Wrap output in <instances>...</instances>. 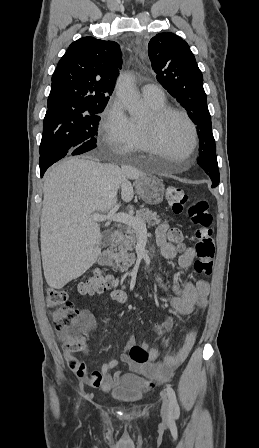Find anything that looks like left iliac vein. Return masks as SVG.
Here are the masks:
<instances>
[{
  "instance_id": "left-iliac-vein-1",
  "label": "left iliac vein",
  "mask_w": 259,
  "mask_h": 448,
  "mask_svg": "<svg viewBox=\"0 0 259 448\" xmlns=\"http://www.w3.org/2000/svg\"><path fill=\"white\" fill-rule=\"evenodd\" d=\"M170 413H171V409H170L169 402H168L166 396H163V403H162V408H161L162 418L165 421L168 420Z\"/></svg>"
}]
</instances>
